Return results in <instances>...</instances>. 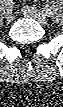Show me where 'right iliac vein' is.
Wrapping results in <instances>:
<instances>
[{
	"label": "right iliac vein",
	"mask_w": 63,
	"mask_h": 107,
	"mask_svg": "<svg viewBox=\"0 0 63 107\" xmlns=\"http://www.w3.org/2000/svg\"><path fill=\"white\" fill-rule=\"evenodd\" d=\"M6 19L9 22L14 20V14H13L12 10H7V12H6Z\"/></svg>",
	"instance_id": "63e3f726"
}]
</instances>
